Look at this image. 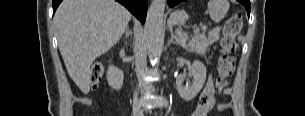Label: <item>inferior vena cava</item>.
I'll return each instance as SVG.
<instances>
[{
  "mask_svg": "<svg viewBox=\"0 0 305 116\" xmlns=\"http://www.w3.org/2000/svg\"><path fill=\"white\" fill-rule=\"evenodd\" d=\"M133 113H134L135 116H142V114H143L141 106L138 103V93H137V91H135V93H134Z\"/></svg>",
  "mask_w": 305,
  "mask_h": 116,
  "instance_id": "1",
  "label": "inferior vena cava"
}]
</instances>
